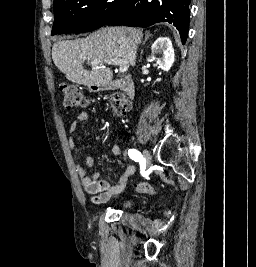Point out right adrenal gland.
<instances>
[{"instance_id": "obj_1", "label": "right adrenal gland", "mask_w": 256, "mask_h": 267, "mask_svg": "<svg viewBox=\"0 0 256 267\" xmlns=\"http://www.w3.org/2000/svg\"><path fill=\"white\" fill-rule=\"evenodd\" d=\"M145 42H146V40H145ZM145 42H143L142 46H144Z\"/></svg>"}]
</instances>
